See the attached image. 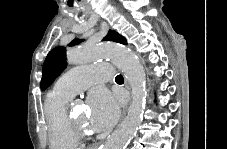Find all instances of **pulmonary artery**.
<instances>
[{
  "label": "pulmonary artery",
  "mask_w": 227,
  "mask_h": 149,
  "mask_svg": "<svg viewBox=\"0 0 227 149\" xmlns=\"http://www.w3.org/2000/svg\"><path fill=\"white\" fill-rule=\"evenodd\" d=\"M112 66L100 63L91 66H77L61 76L54 85V90L73 97L83 92L92 84L110 80Z\"/></svg>",
  "instance_id": "1"
}]
</instances>
